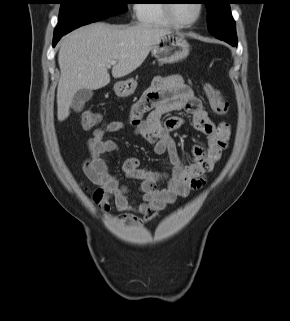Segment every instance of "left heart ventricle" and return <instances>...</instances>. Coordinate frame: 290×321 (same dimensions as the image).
Here are the masks:
<instances>
[{"label": "left heart ventricle", "instance_id": "b2bd125f", "mask_svg": "<svg viewBox=\"0 0 290 321\" xmlns=\"http://www.w3.org/2000/svg\"><path fill=\"white\" fill-rule=\"evenodd\" d=\"M175 17L182 22H190L197 15V3L192 0H182L174 4Z\"/></svg>", "mask_w": 290, "mask_h": 321}]
</instances>
